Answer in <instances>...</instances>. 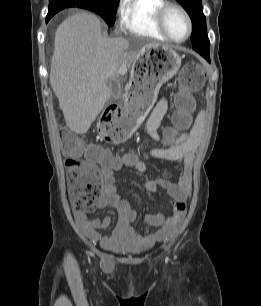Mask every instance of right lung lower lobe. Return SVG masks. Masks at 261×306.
<instances>
[{"label": "right lung lower lobe", "mask_w": 261, "mask_h": 306, "mask_svg": "<svg viewBox=\"0 0 261 306\" xmlns=\"http://www.w3.org/2000/svg\"><path fill=\"white\" fill-rule=\"evenodd\" d=\"M51 17H52L51 15H47V17H46V22H48V21L50 20Z\"/></svg>", "instance_id": "obj_1"}]
</instances>
